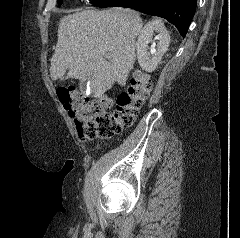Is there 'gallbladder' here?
Segmentation results:
<instances>
[{
	"mask_svg": "<svg viewBox=\"0 0 240 238\" xmlns=\"http://www.w3.org/2000/svg\"><path fill=\"white\" fill-rule=\"evenodd\" d=\"M86 88V81L80 83V89L85 90Z\"/></svg>",
	"mask_w": 240,
	"mask_h": 238,
	"instance_id": "bac80fb5",
	"label": "gallbladder"
}]
</instances>
